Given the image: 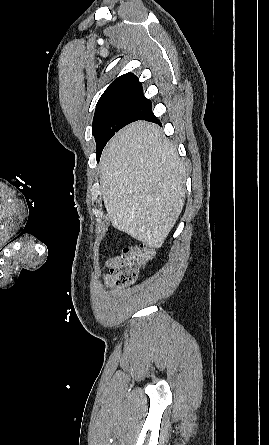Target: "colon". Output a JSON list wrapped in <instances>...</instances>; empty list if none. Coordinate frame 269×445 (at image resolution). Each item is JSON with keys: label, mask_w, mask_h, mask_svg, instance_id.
Listing matches in <instances>:
<instances>
[{"label": "colon", "mask_w": 269, "mask_h": 445, "mask_svg": "<svg viewBox=\"0 0 269 445\" xmlns=\"http://www.w3.org/2000/svg\"><path fill=\"white\" fill-rule=\"evenodd\" d=\"M154 256V250L146 244H137L124 248L117 265L111 270L114 281L119 286L132 284L138 270Z\"/></svg>", "instance_id": "5ec220e1"}]
</instances>
